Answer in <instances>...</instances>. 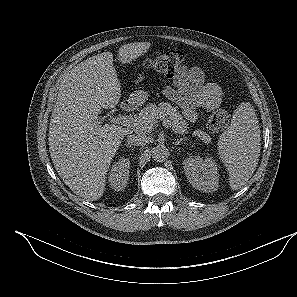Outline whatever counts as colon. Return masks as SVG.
I'll return each instance as SVG.
<instances>
[{
  "label": "colon",
  "mask_w": 297,
  "mask_h": 297,
  "mask_svg": "<svg viewBox=\"0 0 297 297\" xmlns=\"http://www.w3.org/2000/svg\"><path fill=\"white\" fill-rule=\"evenodd\" d=\"M186 61V56L181 51L171 50L147 59L145 67L170 78L174 77L185 66ZM228 123V112L219 108L210 114L207 128L211 133H220L227 127Z\"/></svg>",
  "instance_id": "obj_1"
}]
</instances>
